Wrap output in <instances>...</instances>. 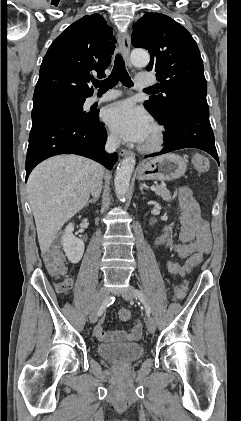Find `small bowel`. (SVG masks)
<instances>
[{
  "label": "small bowel",
  "mask_w": 241,
  "mask_h": 421,
  "mask_svg": "<svg viewBox=\"0 0 241 421\" xmlns=\"http://www.w3.org/2000/svg\"><path fill=\"white\" fill-rule=\"evenodd\" d=\"M180 215V240L174 244L167 235H161L157 239V245H164L182 258L188 259L195 254L204 255L211 248V234L207 222L201 217L200 208L188 188H180L178 191ZM72 281L67 279L57 290L67 294L71 289ZM104 319H101L94 327V335L99 341L104 342H133L137 341L142 333V323L135 320L128 331H107L103 328Z\"/></svg>",
  "instance_id": "obj_1"
}]
</instances>
